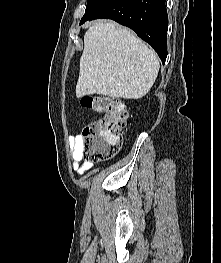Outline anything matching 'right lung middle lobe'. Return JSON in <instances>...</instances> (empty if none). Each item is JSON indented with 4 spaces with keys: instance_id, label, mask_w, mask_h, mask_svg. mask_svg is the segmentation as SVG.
<instances>
[{
    "instance_id": "obj_1",
    "label": "right lung middle lobe",
    "mask_w": 221,
    "mask_h": 263,
    "mask_svg": "<svg viewBox=\"0 0 221 263\" xmlns=\"http://www.w3.org/2000/svg\"><path fill=\"white\" fill-rule=\"evenodd\" d=\"M108 1L109 0H88L85 14L82 17L81 21L92 17Z\"/></svg>"
}]
</instances>
